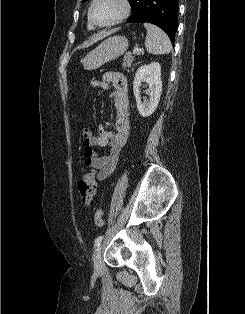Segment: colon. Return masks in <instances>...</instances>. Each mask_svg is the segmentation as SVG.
I'll use <instances>...</instances> for the list:
<instances>
[{"instance_id": "1", "label": "colon", "mask_w": 245, "mask_h": 314, "mask_svg": "<svg viewBox=\"0 0 245 314\" xmlns=\"http://www.w3.org/2000/svg\"><path fill=\"white\" fill-rule=\"evenodd\" d=\"M79 192L83 202L90 203L96 194L95 172L90 170L86 172L79 181ZM95 223L98 227L104 226L102 210L98 209L95 214Z\"/></svg>"}]
</instances>
